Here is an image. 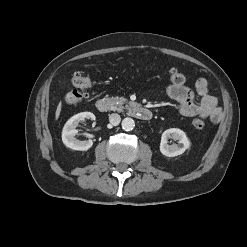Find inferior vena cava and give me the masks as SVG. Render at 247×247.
Masks as SVG:
<instances>
[{"mask_svg": "<svg viewBox=\"0 0 247 247\" xmlns=\"http://www.w3.org/2000/svg\"><path fill=\"white\" fill-rule=\"evenodd\" d=\"M120 121H121V117L119 114L113 113L109 115V122L111 123V125L117 126L120 123Z\"/></svg>", "mask_w": 247, "mask_h": 247, "instance_id": "inferior-vena-cava-1", "label": "inferior vena cava"}]
</instances>
